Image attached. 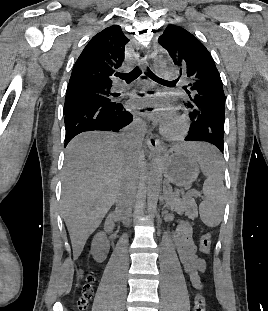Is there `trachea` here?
<instances>
[{"mask_svg":"<svg viewBox=\"0 0 268 311\" xmlns=\"http://www.w3.org/2000/svg\"><path fill=\"white\" fill-rule=\"evenodd\" d=\"M147 75L153 79L156 82H168L167 80L161 79L159 77H157L150 69H147ZM141 70L139 67L134 68L130 73H116L115 75L117 77H120L121 79L125 80L127 83L132 82L133 80H135L136 78L139 77V75L141 74Z\"/></svg>","mask_w":268,"mask_h":311,"instance_id":"obj_1","label":"trachea"}]
</instances>
